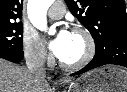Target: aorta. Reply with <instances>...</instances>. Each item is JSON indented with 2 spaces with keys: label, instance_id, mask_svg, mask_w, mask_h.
Segmentation results:
<instances>
[{
  "label": "aorta",
  "instance_id": "obj_1",
  "mask_svg": "<svg viewBox=\"0 0 127 92\" xmlns=\"http://www.w3.org/2000/svg\"><path fill=\"white\" fill-rule=\"evenodd\" d=\"M53 3V0H28L27 13L34 27L41 31L47 30V10ZM55 29L50 28L49 33H54Z\"/></svg>",
  "mask_w": 127,
  "mask_h": 92
}]
</instances>
